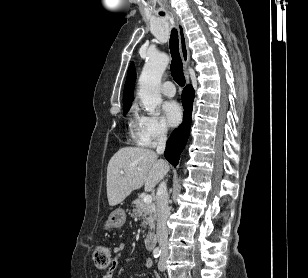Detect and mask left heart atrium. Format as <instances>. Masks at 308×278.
Segmentation results:
<instances>
[{"instance_id": "1", "label": "left heart atrium", "mask_w": 308, "mask_h": 278, "mask_svg": "<svg viewBox=\"0 0 308 278\" xmlns=\"http://www.w3.org/2000/svg\"><path fill=\"white\" fill-rule=\"evenodd\" d=\"M164 119L166 123L171 126H177L182 120V109L175 101H167L162 107Z\"/></svg>"}]
</instances>
